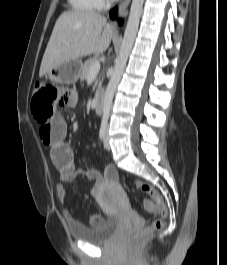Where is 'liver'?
Instances as JSON below:
<instances>
[{"label": "liver", "instance_id": "liver-1", "mask_svg": "<svg viewBox=\"0 0 227 265\" xmlns=\"http://www.w3.org/2000/svg\"><path fill=\"white\" fill-rule=\"evenodd\" d=\"M115 37L112 25L97 13L63 12L57 19L40 66L39 76L64 63L106 51Z\"/></svg>", "mask_w": 227, "mask_h": 265}]
</instances>
